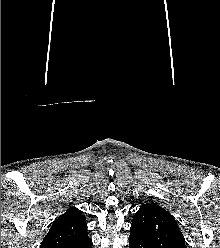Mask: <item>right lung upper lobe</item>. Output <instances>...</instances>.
Listing matches in <instances>:
<instances>
[{
    "label": "right lung upper lobe",
    "mask_w": 220,
    "mask_h": 248,
    "mask_svg": "<svg viewBox=\"0 0 220 248\" xmlns=\"http://www.w3.org/2000/svg\"><path fill=\"white\" fill-rule=\"evenodd\" d=\"M89 240L82 211L71 207L54 221L40 248H74Z\"/></svg>",
    "instance_id": "right-lung-upper-lobe-1"
}]
</instances>
